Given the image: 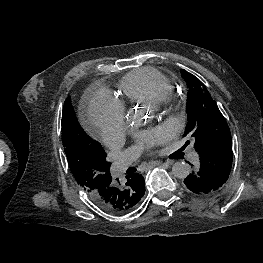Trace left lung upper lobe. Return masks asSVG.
I'll list each match as a JSON object with an SVG mask.
<instances>
[{
	"label": "left lung upper lobe",
	"mask_w": 263,
	"mask_h": 263,
	"mask_svg": "<svg viewBox=\"0 0 263 263\" xmlns=\"http://www.w3.org/2000/svg\"><path fill=\"white\" fill-rule=\"evenodd\" d=\"M181 75L189 89L186 104L188 123L184 137L194 138V148L197 152L218 141L231 140L227 122L206 86L197 77L183 69Z\"/></svg>",
	"instance_id": "5c2ea615"
}]
</instances>
